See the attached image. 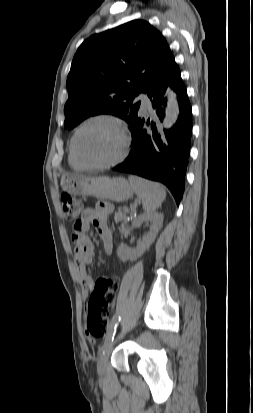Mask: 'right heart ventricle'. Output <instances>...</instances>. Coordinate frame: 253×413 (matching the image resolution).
Masks as SVG:
<instances>
[{
  "label": "right heart ventricle",
  "mask_w": 253,
  "mask_h": 413,
  "mask_svg": "<svg viewBox=\"0 0 253 413\" xmlns=\"http://www.w3.org/2000/svg\"><path fill=\"white\" fill-rule=\"evenodd\" d=\"M68 162L70 164L71 167L75 168V169H82L83 167L77 162V160L75 159L73 152H72V146H71V142L69 144L68 147Z\"/></svg>",
  "instance_id": "obj_1"
}]
</instances>
